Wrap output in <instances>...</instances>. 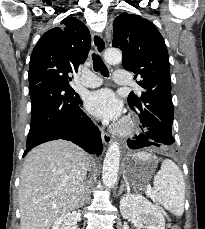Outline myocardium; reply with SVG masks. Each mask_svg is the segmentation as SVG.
I'll use <instances>...</instances> for the list:
<instances>
[{
  "label": "myocardium",
  "instance_id": "1",
  "mask_svg": "<svg viewBox=\"0 0 205 229\" xmlns=\"http://www.w3.org/2000/svg\"><path fill=\"white\" fill-rule=\"evenodd\" d=\"M133 127V121L131 118H126L123 120L117 127H116V132L120 134H126L130 132V130Z\"/></svg>",
  "mask_w": 205,
  "mask_h": 229
}]
</instances>
